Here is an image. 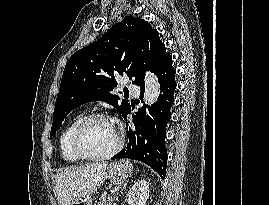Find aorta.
<instances>
[{"mask_svg":"<svg viewBox=\"0 0 269 205\" xmlns=\"http://www.w3.org/2000/svg\"><path fill=\"white\" fill-rule=\"evenodd\" d=\"M145 92L143 100L145 104L152 105L158 100L160 95V84L155 74L147 72L145 74Z\"/></svg>","mask_w":269,"mask_h":205,"instance_id":"762f6f07","label":"aorta"}]
</instances>
